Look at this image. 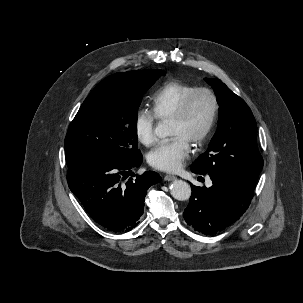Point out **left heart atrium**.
I'll return each mask as SVG.
<instances>
[{
	"mask_svg": "<svg viewBox=\"0 0 303 303\" xmlns=\"http://www.w3.org/2000/svg\"><path fill=\"white\" fill-rule=\"evenodd\" d=\"M191 151L190 142L183 136H174L169 142L156 147L148 155L149 164L161 171L179 170Z\"/></svg>",
	"mask_w": 303,
	"mask_h": 303,
	"instance_id": "obj_1",
	"label": "left heart atrium"
}]
</instances>
